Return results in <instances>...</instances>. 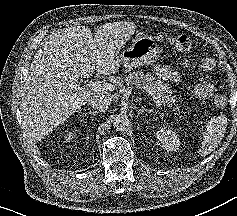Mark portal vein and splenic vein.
Wrapping results in <instances>:
<instances>
[{"label": "portal vein and splenic vein", "mask_w": 237, "mask_h": 216, "mask_svg": "<svg viewBox=\"0 0 237 216\" xmlns=\"http://www.w3.org/2000/svg\"><path fill=\"white\" fill-rule=\"evenodd\" d=\"M92 83H95V82H92ZM98 86H99V85L96 83V84H95V87H98Z\"/></svg>", "instance_id": "portal-vein-and-splenic-vein-1"}]
</instances>
